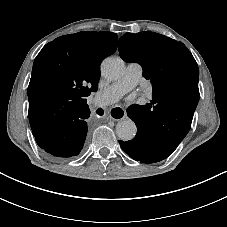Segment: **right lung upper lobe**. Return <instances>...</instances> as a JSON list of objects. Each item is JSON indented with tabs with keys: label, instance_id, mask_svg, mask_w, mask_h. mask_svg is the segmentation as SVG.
Returning <instances> with one entry per match:
<instances>
[{
	"label": "right lung upper lobe",
	"instance_id": "right-lung-upper-lobe-1",
	"mask_svg": "<svg viewBox=\"0 0 227 227\" xmlns=\"http://www.w3.org/2000/svg\"><path fill=\"white\" fill-rule=\"evenodd\" d=\"M117 34L82 31L56 38L37 55L28 86L29 106L45 107L58 119L87 105L97 90L102 60L117 48Z\"/></svg>",
	"mask_w": 227,
	"mask_h": 227
}]
</instances>
